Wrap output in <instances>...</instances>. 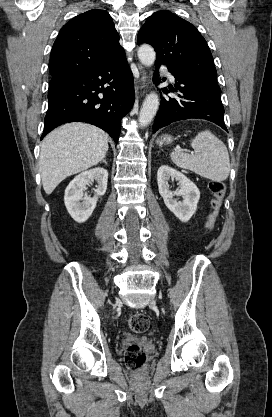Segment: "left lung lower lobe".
I'll list each match as a JSON object with an SVG mask.
<instances>
[{"label":"left lung lower lobe","mask_w":272,"mask_h":417,"mask_svg":"<svg viewBox=\"0 0 272 417\" xmlns=\"http://www.w3.org/2000/svg\"><path fill=\"white\" fill-rule=\"evenodd\" d=\"M159 63H156L153 82L159 84ZM175 77L174 87L169 90L178 92V98L162 97L159 111L155 117L153 132L173 122L191 118L209 120L224 130V107L221 102V90L207 83L184 74L176 69L168 68ZM162 91L168 93L167 88Z\"/></svg>","instance_id":"0a47b994"}]
</instances>
